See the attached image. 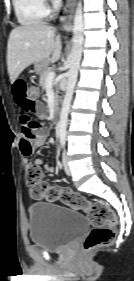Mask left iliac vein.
<instances>
[{"label":"left iliac vein","mask_w":134,"mask_h":281,"mask_svg":"<svg viewBox=\"0 0 134 281\" xmlns=\"http://www.w3.org/2000/svg\"><path fill=\"white\" fill-rule=\"evenodd\" d=\"M62 163H63L65 173L67 175H71V169H70L69 164H68V156H67V153H66L65 150H64L63 156H62Z\"/></svg>","instance_id":"4c4485c4"}]
</instances>
